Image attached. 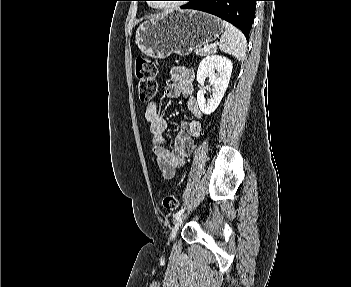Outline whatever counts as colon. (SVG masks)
<instances>
[{"label": "colon", "instance_id": "1", "mask_svg": "<svg viewBox=\"0 0 351 287\" xmlns=\"http://www.w3.org/2000/svg\"><path fill=\"white\" fill-rule=\"evenodd\" d=\"M135 73L138 79V94L142 102L150 101L157 92L156 74L157 69L153 61L144 56L135 59ZM163 208L175 211L179 207L178 198L168 194L163 198Z\"/></svg>", "mask_w": 351, "mask_h": 287}]
</instances>
